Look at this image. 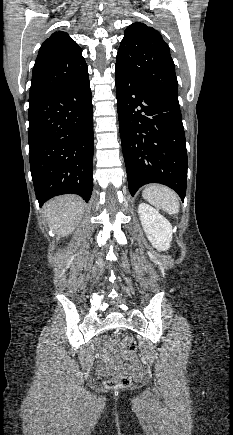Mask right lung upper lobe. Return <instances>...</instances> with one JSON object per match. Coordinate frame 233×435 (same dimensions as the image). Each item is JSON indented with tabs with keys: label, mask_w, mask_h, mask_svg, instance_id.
I'll list each match as a JSON object with an SVG mask.
<instances>
[{
	"label": "right lung upper lobe",
	"mask_w": 233,
	"mask_h": 435,
	"mask_svg": "<svg viewBox=\"0 0 233 435\" xmlns=\"http://www.w3.org/2000/svg\"><path fill=\"white\" fill-rule=\"evenodd\" d=\"M81 53V48L65 32H55L46 39L33 67L29 104L47 97L88 72Z\"/></svg>",
	"instance_id": "1"
}]
</instances>
